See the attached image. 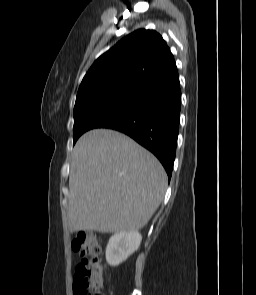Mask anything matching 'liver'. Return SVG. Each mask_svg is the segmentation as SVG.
Returning a JSON list of instances; mask_svg holds the SVG:
<instances>
[{"mask_svg":"<svg viewBox=\"0 0 256 295\" xmlns=\"http://www.w3.org/2000/svg\"><path fill=\"white\" fill-rule=\"evenodd\" d=\"M167 175L158 159L130 137L94 129L77 141L68 195L70 232H131L159 207Z\"/></svg>","mask_w":256,"mask_h":295,"instance_id":"obj_1","label":"liver"}]
</instances>
